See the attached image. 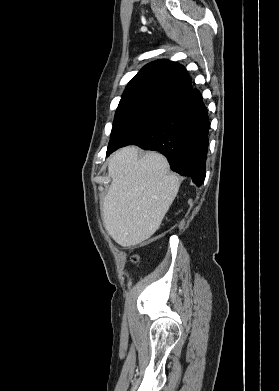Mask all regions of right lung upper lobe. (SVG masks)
<instances>
[{
    "mask_svg": "<svg viewBox=\"0 0 279 391\" xmlns=\"http://www.w3.org/2000/svg\"><path fill=\"white\" fill-rule=\"evenodd\" d=\"M193 89L186 69L175 62L157 60L145 65L128 83L118 110L139 107H163Z\"/></svg>",
    "mask_w": 279,
    "mask_h": 391,
    "instance_id": "1",
    "label": "right lung upper lobe"
}]
</instances>
